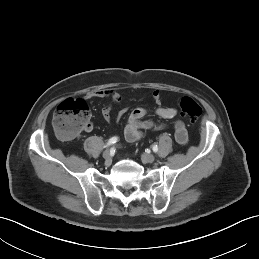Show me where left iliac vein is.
Wrapping results in <instances>:
<instances>
[{
    "label": "left iliac vein",
    "mask_w": 259,
    "mask_h": 259,
    "mask_svg": "<svg viewBox=\"0 0 259 259\" xmlns=\"http://www.w3.org/2000/svg\"><path fill=\"white\" fill-rule=\"evenodd\" d=\"M141 159L144 163H152L155 160V156L153 154H143Z\"/></svg>",
    "instance_id": "obj_1"
}]
</instances>
